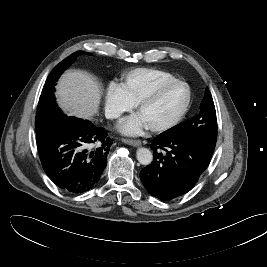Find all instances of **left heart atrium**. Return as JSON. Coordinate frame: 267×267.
I'll use <instances>...</instances> for the list:
<instances>
[{
	"mask_svg": "<svg viewBox=\"0 0 267 267\" xmlns=\"http://www.w3.org/2000/svg\"><path fill=\"white\" fill-rule=\"evenodd\" d=\"M148 125L140 116V114L124 118L119 123V130L125 134L136 135L139 134Z\"/></svg>",
	"mask_w": 267,
	"mask_h": 267,
	"instance_id": "1",
	"label": "left heart atrium"
}]
</instances>
